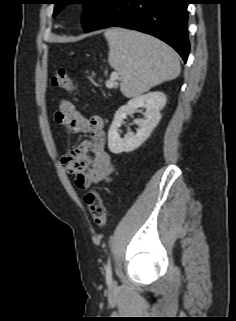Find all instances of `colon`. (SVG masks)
<instances>
[{"label": "colon", "instance_id": "colon-1", "mask_svg": "<svg viewBox=\"0 0 236 321\" xmlns=\"http://www.w3.org/2000/svg\"><path fill=\"white\" fill-rule=\"evenodd\" d=\"M51 83L53 86L62 88L68 92L75 90V85L64 68H59L56 71L51 79ZM84 199L94 224L100 229L103 228L106 225V208L100 192L97 189H89Z\"/></svg>", "mask_w": 236, "mask_h": 321}]
</instances>
